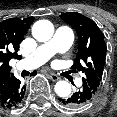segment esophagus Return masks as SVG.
Here are the masks:
<instances>
[{
  "label": "esophagus",
  "instance_id": "esophagus-1",
  "mask_svg": "<svg viewBox=\"0 0 117 117\" xmlns=\"http://www.w3.org/2000/svg\"><path fill=\"white\" fill-rule=\"evenodd\" d=\"M49 77L53 81H58L60 79V77L58 75L54 74V73H50Z\"/></svg>",
  "mask_w": 117,
  "mask_h": 117
}]
</instances>
